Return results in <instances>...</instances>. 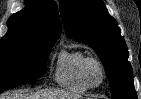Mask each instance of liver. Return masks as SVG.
Here are the masks:
<instances>
[{
    "label": "liver",
    "mask_w": 141,
    "mask_h": 99,
    "mask_svg": "<svg viewBox=\"0 0 141 99\" xmlns=\"http://www.w3.org/2000/svg\"><path fill=\"white\" fill-rule=\"evenodd\" d=\"M78 95H73L68 92L57 89H42L34 93L23 94L21 91L13 94L0 96V99H80Z\"/></svg>",
    "instance_id": "1"
}]
</instances>
